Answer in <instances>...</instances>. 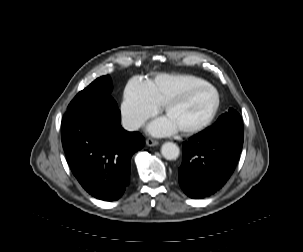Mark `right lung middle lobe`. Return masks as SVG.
Instances as JSON below:
<instances>
[{
    "instance_id": "dd1d6c3e",
    "label": "right lung middle lobe",
    "mask_w": 303,
    "mask_h": 252,
    "mask_svg": "<svg viewBox=\"0 0 303 252\" xmlns=\"http://www.w3.org/2000/svg\"><path fill=\"white\" fill-rule=\"evenodd\" d=\"M111 89V79L108 75L96 79L88 87L80 91L75 96V98L69 104L67 112L102 100L115 102L110 96Z\"/></svg>"
}]
</instances>
